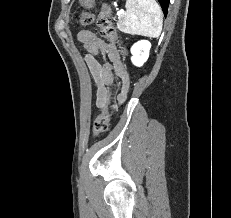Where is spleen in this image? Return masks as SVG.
<instances>
[{"label": "spleen", "mask_w": 231, "mask_h": 218, "mask_svg": "<svg viewBox=\"0 0 231 218\" xmlns=\"http://www.w3.org/2000/svg\"><path fill=\"white\" fill-rule=\"evenodd\" d=\"M126 12L117 27L124 33L159 37L163 26L162 10L155 0H126Z\"/></svg>", "instance_id": "3e777b00"}]
</instances>
